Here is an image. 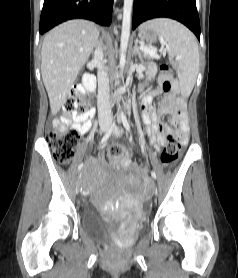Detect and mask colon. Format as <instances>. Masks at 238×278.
Here are the masks:
<instances>
[{
	"label": "colon",
	"mask_w": 238,
	"mask_h": 278,
	"mask_svg": "<svg viewBox=\"0 0 238 278\" xmlns=\"http://www.w3.org/2000/svg\"><path fill=\"white\" fill-rule=\"evenodd\" d=\"M161 81L163 91L168 93L174 86V73L167 66H161ZM63 109L67 113H87L91 110L90 100L87 98L85 89L81 84L75 85L70 91ZM50 144L54 159L61 163L67 164L74 155V150L78 144L79 133L74 127L51 128L46 134ZM183 149L181 144L175 139L173 134L167 135V144L161 153V162L164 165H171L176 162L182 155ZM126 152L118 145L111 146L108 150V156L116 162H121L126 157Z\"/></svg>",
	"instance_id": "1"
}]
</instances>
